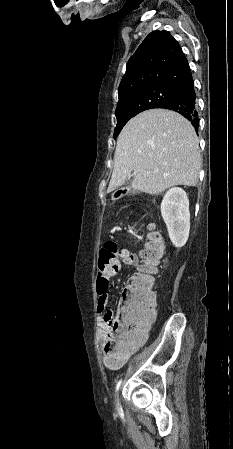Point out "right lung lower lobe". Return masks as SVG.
<instances>
[{"instance_id": "right-lung-lower-lobe-1", "label": "right lung lower lobe", "mask_w": 233, "mask_h": 449, "mask_svg": "<svg viewBox=\"0 0 233 449\" xmlns=\"http://www.w3.org/2000/svg\"><path fill=\"white\" fill-rule=\"evenodd\" d=\"M179 96L160 104L157 108L176 111L187 118L198 131L199 118L197 113L196 94L193 79L179 87Z\"/></svg>"}]
</instances>
